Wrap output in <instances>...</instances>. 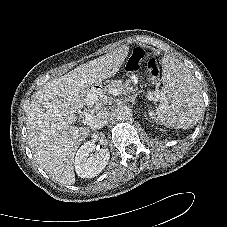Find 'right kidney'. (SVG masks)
<instances>
[{
    "mask_svg": "<svg viewBox=\"0 0 227 227\" xmlns=\"http://www.w3.org/2000/svg\"><path fill=\"white\" fill-rule=\"evenodd\" d=\"M95 149L93 142L84 143L76 153L75 170L81 178H93L97 176L108 164L110 159L107 148H99L96 155L90 153Z\"/></svg>",
    "mask_w": 227,
    "mask_h": 227,
    "instance_id": "obj_1",
    "label": "right kidney"
}]
</instances>
